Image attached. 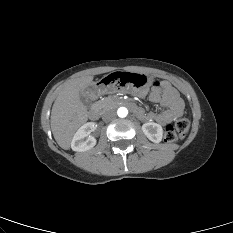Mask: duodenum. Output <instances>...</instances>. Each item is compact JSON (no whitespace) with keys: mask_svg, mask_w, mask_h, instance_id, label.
Returning a JSON list of instances; mask_svg holds the SVG:
<instances>
[{"mask_svg":"<svg viewBox=\"0 0 233 233\" xmlns=\"http://www.w3.org/2000/svg\"><path fill=\"white\" fill-rule=\"evenodd\" d=\"M120 104L130 108L137 116H140L142 113L141 110L130 101L122 100ZM89 117L92 120H97L99 118V108L96 106L92 107L89 111Z\"/></svg>","mask_w":233,"mask_h":233,"instance_id":"duodenum-1","label":"duodenum"}]
</instances>
